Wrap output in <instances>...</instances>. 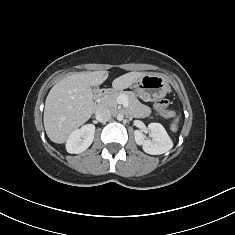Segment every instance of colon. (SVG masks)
I'll return each mask as SVG.
<instances>
[{
    "instance_id": "1",
    "label": "colon",
    "mask_w": 235,
    "mask_h": 235,
    "mask_svg": "<svg viewBox=\"0 0 235 235\" xmlns=\"http://www.w3.org/2000/svg\"><path fill=\"white\" fill-rule=\"evenodd\" d=\"M155 108L157 112L166 118L174 117L172 111L169 110V101L167 99H160L156 102Z\"/></svg>"
}]
</instances>
